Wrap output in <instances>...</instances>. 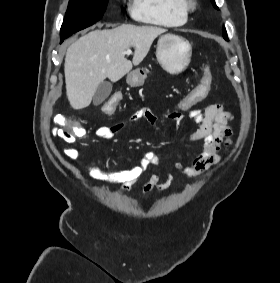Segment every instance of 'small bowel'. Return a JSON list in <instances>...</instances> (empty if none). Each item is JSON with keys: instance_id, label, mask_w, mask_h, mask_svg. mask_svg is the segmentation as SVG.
Returning <instances> with one entry per match:
<instances>
[{"instance_id": "small-bowel-1", "label": "small bowel", "mask_w": 280, "mask_h": 283, "mask_svg": "<svg viewBox=\"0 0 280 283\" xmlns=\"http://www.w3.org/2000/svg\"><path fill=\"white\" fill-rule=\"evenodd\" d=\"M185 115L198 125L197 129L189 135V140L192 142L203 141L204 144L202 150L190 163L176 162L174 167L182 174L194 178L203 174L211 166L218 164L222 160L220 151L227 148L231 143L232 129L230 124L233 116L229 111L224 110L220 104H210L204 110L189 108L188 112L168 111L161 116L155 115L147 108H141L126 121L111 126L98 127L95 130V136L100 140H112L125 128L141 120L147 121L151 126L160 130L166 122L180 124ZM65 154L73 160H77L80 156L79 150L74 147L68 148ZM159 163L158 155L149 151L143 155L136 166L130 169L106 171L92 161L86 162V168L94 178H108L120 182L123 191L127 192L141 179L150 166ZM172 178L171 173H167L165 178H162L159 174H152L143 186V193L149 195L155 190H164L172 181Z\"/></svg>"}]
</instances>
